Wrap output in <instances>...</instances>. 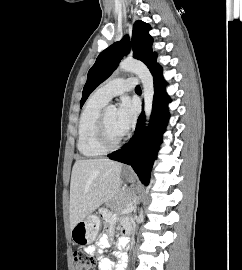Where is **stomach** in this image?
Instances as JSON below:
<instances>
[{
	"label": "stomach",
	"mask_w": 242,
	"mask_h": 270,
	"mask_svg": "<svg viewBox=\"0 0 242 270\" xmlns=\"http://www.w3.org/2000/svg\"><path fill=\"white\" fill-rule=\"evenodd\" d=\"M127 180L133 182V177L127 175ZM100 220L96 215H88L78 222L71 230V238L76 245H88L92 243L99 232Z\"/></svg>",
	"instance_id": "0dacf381"
}]
</instances>
